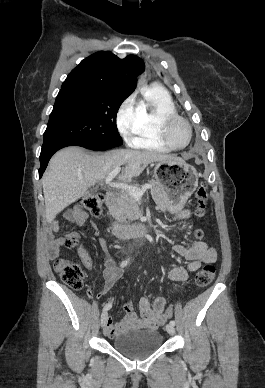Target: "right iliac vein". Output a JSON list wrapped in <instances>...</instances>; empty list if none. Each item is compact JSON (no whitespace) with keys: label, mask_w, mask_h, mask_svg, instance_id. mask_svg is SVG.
<instances>
[{"label":"right iliac vein","mask_w":265,"mask_h":388,"mask_svg":"<svg viewBox=\"0 0 265 388\" xmlns=\"http://www.w3.org/2000/svg\"><path fill=\"white\" fill-rule=\"evenodd\" d=\"M107 319H108V313L104 311L101 315V322H100L101 327L105 326Z\"/></svg>","instance_id":"1"}]
</instances>
